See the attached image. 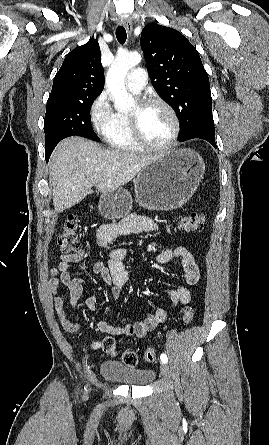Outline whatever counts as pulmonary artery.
<instances>
[{"instance_id": "pulmonary-artery-1", "label": "pulmonary artery", "mask_w": 269, "mask_h": 445, "mask_svg": "<svg viewBox=\"0 0 269 445\" xmlns=\"http://www.w3.org/2000/svg\"><path fill=\"white\" fill-rule=\"evenodd\" d=\"M147 73L143 68L132 69L126 78V86L133 93H139L144 88Z\"/></svg>"}]
</instances>
